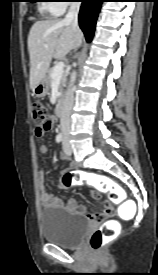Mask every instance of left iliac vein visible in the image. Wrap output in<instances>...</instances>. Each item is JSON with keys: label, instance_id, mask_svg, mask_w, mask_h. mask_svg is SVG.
Listing matches in <instances>:
<instances>
[{"label": "left iliac vein", "instance_id": "obj_1", "mask_svg": "<svg viewBox=\"0 0 158 275\" xmlns=\"http://www.w3.org/2000/svg\"><path fill=\"white\" fill-rule=\"evenodd\" d=\"M63 152L67 156H70L72 154V147L68 139H64L63 141Z\"/></svg>", "mask_w": 158, "mask_h": 275}]
</instances>
